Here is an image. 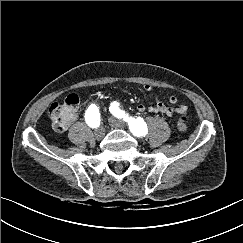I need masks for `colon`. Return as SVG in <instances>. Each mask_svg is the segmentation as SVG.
Listing matches in <instances>:
<instances>
[{"label":"colon","instance_id":"1","mask_svg":"<svg viewBox=\"0 0 243 243\" xmlns=\"http://www.w3.org/2000/svg\"><path fill=\"white\" fill-rule=\"evenodd\" d=\"M79 107V98L70 94L61 103H53L49 109V116L52 126L56 131H64L76 119ZM177 127L179 131L185 132L188 129L187 119L179 118Z\"/></svg>","mask_w":243,"mask_h":243}]
</instances>
